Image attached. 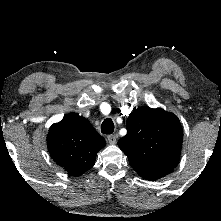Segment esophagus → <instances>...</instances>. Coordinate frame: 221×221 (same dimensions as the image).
I'll return each mask as SVG.
<instances>
[{"label":"esophagus","instance_id":"1","mask_svg":"<svg viewBox=\"0 0 221 221\" xmlns=\"http://www.w3.org/2000/svg\"><path fill=\"white\" fill-rule=\"evenodd\" d=\"M107 140H108L109 144L114 145L117 142V137H116V135H108Z\"/></svg>","mask_w":221,"mask_h":221}]
</instances>
